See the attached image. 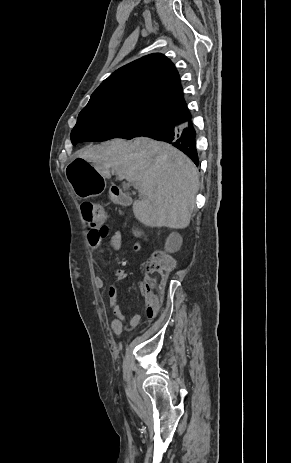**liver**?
Here are the masks:
<instances>
[{
    "mask_svg": "<svg viewBox=\"0 0 291 463\" xmlns=\"http://www.w3.org/2000/svg\"><path fill=\"white\" fill-rule=\"evenodd\" d=\"M77 157L93 163L103 178L116 174L137 184L139 200L133 203L138 221L149 227L186 228L199 188L193 162L172 145L140 137L114 139L89 146Z\"/></svg>",
    "mask_w": 291,
    "mask_h": 463,
    "instance_id": "obj_1",
    "label": "liver"
}]
</instances>
